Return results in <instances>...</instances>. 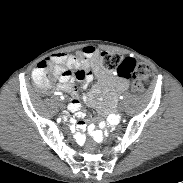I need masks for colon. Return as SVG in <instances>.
Listing matches in <instances>:
<instances>
[{
    "label": "colon",
    "mask_w": 183,
    "mask_h": 183,
    "mask_svg": "<svg viewBox=\"0 0 183 183\" xmlns=\"http://www.w3.org/2000/svg\"><path fill=\"white\" fill-rule=\"evenodd\" d=\"M72 58L77 62L84 61L85 57L82 53H75ZM100 63L102 67L109 71H114L118 76L125 79H132V90L137 93L144 91L146 84L150 79V69L144 63H137L130 57H122L118 53L102 52L100 54ZM51 65L47 60L39 62L33 71V81L43 90L50 88L48 70ZM84 151L92 154L95 151L94 142L91 136L84 140Z\"/></svg>",
    "instance_id": "obj_1"
}]
</instances>
